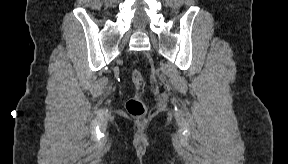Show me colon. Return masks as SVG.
Segmentation results:
<instances>
[{
    "label": "colon",
    "instance_id": "colon-1",
    "mask_svg": "<svg viewBox=\"0 0 288 164\" xmlns=\"http://www.w3.org/2000/svg\"><path fill=\"white\" fill-rule=\"evenodd\" d=\"M131 78L136 93L126 101L125 107L130 116L136 118L144 117L146 115V105L140 95V92L144 88V78L138 70L132 71Z\"/></svg>",
    "mask_w": 288,
    "mask_h": 164
}]
</instances>
